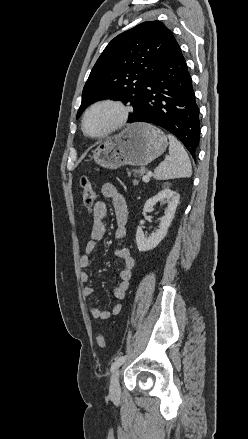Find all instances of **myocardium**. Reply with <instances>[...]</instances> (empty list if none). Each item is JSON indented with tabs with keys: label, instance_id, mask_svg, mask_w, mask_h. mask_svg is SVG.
<instances>
[{
	"label": "myocardium",
	"instance_id": "obj_1",
	"mask_svg": "<svg viewBox=\"0 0 248 439\" xmlns=\"http://www.w3.org/2000/svg\"><path fill=\"white\" fill-rule=\"evenodd\" d=\"M100 106H112L114 108H116L118 110L119 116L117 121L108 129H106L105 131L96 134V135H92L90 133L87 132L86 130V120L88 115L97 107ZM129 116H130V108L124 104L122 101L117 100V99H112V98H105V99H100L95 101L94 103H92L83 113L82 116V121H81V128L82 131L84 133V135H86L89 138L92 139H99V138H103L106 137L118 130H120L121 128H123L128 120H129Z\"/></svg>",
	"mask_w": 248,
	"mask_h": 439
}]
</instances>
